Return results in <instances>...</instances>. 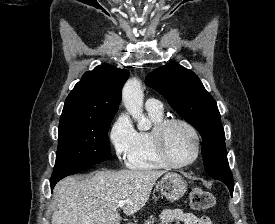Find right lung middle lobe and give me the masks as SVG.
Returning a JSON list of instances; mask_svg holds the SVG:
<instances>
[{
	"label": "right lung middle lobe",
	"mask_w": 275,
	"mask_h": 224,
	"mask_svg": "<svg viewBox=\"0 0 275 224\" xmlns=\"http://www.w3.org/2000/svg\"><path fill=\"white\" fill-rule=\"evenodd\" d=\"M112 119L60 122L56 163L50 181L79 173L109 159L108 129Z\"/></svg>",
	"instance_id": "obj_1"
}]
</instances>
